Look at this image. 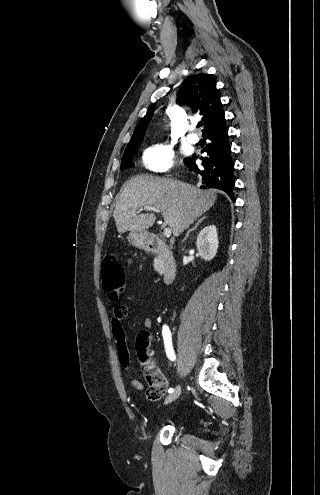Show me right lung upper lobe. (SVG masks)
<instances>
[{
  "label": "right lung upper lobe",
  "instance_id": "cb5924a9",
  "mask_svg": "<svg viewBox=\"0 0 320 495\" xmlns=\"http://www.w3.org/2000/svg\"><path fill=\"white\" fill-rule=\"evenodd\" d=\"M178 98H183L194 112H199L203 116L202 132L225 119L220 91L216 88L215 78L210 75L200 73L186 80L178 91ZM153 113L154 107L139 121L125 150L141 145Z\"/></svg>",
  "mask_w": 320,
  "mask_h": 495
}]
</instances>
